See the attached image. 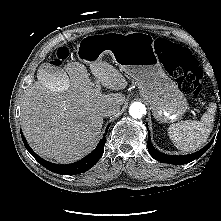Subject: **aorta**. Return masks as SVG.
<instances>
[{
  "label": "aorta",
  "instance_id": "1",
  "mask_svg": "<svg viewBox=\"0 0 221 221\" xmlns=\"http://www.w3.org/2000/svg\"><path fill=\"white\" fill-rule=\"evenodd\" d=\"M129 114L134 119H139L146 114V107L141 102H134L129 108Z\"/></svg>",
  "mask_w": 221,
  "mask_h": 221
}]
</instances>
